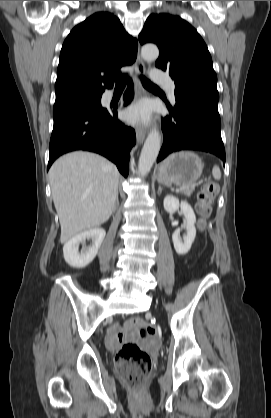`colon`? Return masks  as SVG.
I'll list each match as a JSON object with an SVG mask.
<instances>
[{"label":"colon","mask_w":271,"mask_h":418,"mask_svg":"<svg viewBox=\"0 0 271 418\" xmlns=\"http://www.w3.org/2000/svg\"><path fill=\"white\" fill-rule=\"evenodd\" d=\"M218 186L212 181L206 182L198 193L197 211L202 220L210 216ZM140 326V335L153 337L156 330L153 326L136 320ZM115 366L121 378L135 395H141L145 389L151 368L150 356L133 343H126L117 352Z\"/></svg>","instance_id":"colon-1"}]
</instances>
